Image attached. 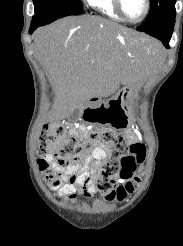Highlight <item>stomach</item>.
<instances>
[{"mask_svg":"<svg viewBox=\"0 0 183 246\" xmlns=\"http://www.w3.org/2000/svg\"><path fill=\"white\" fill-rule=\"evenodd\" d=\"M131 92L132 86H126L105 103V106L99 110L102 123L114 128H125L130 125L128 102Z\"/></svg>","mask_w":183,"mask_h":246,"instance_id":"stomach-1","label":"stomach"}]
</instances>
